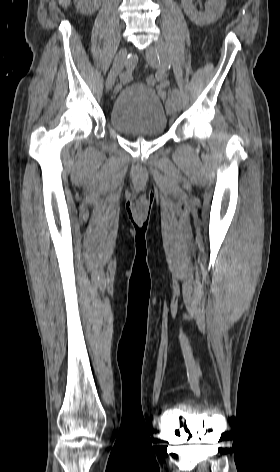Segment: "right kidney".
Returning <instances> with one entry per match:
<instances>
[{
    "mask_svg": "<svg viewBox=\"0 0 280 472\" xmlns=\"http://www.w3.org/2000/svg\"><path fill=\"white\" fill-rule=\"evenodd\" d=\"M77 9L84 15H91L97 11L101 5V0H75Z\"/></svg>",
    "mask_w": 280,
    "mask_h": 472,
    "instance_id": "right-kidney-1",
    "label": "right kidney"
}]
</instances>
